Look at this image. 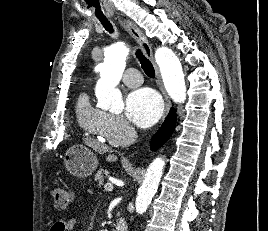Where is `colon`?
I'll return each instance as SVG.
<instances>
[{
    "label": "colon",
    "mask_w": 268,
    "mask_h": 231,
    "mask_svg": "<svg viewBox=\"0 0 268 231\" xmlns=\"http://www.w3.org/2000/svg\"><path fill=\"white\" fill-rule=\"evenodd\" d=\"M52 197L59 209H65L70 202V193L59 186L53 187L51 190Z\"/></svg>",
    "instance_id": "colon-1"
}]
</instances>
